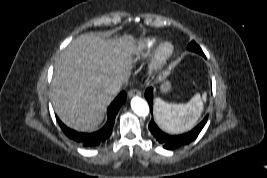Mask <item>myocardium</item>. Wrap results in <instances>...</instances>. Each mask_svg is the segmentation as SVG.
I'll return each instance as SVG.
<instances>
[{"label": "myocardium", "mask_w": 267, "mask_h": 178, "mask_svg": "<svg viewBox=\"0 0 267 178\" xmlns=\"http://www.w3.org/2000/svg\"><path fill=\"white\" fill-rule=\"evenodd\" d=\"M176 53V48L173 43L169 41L161 42L153 55L152 61L150 63V72L153 74H158L162 69L168 64V62L174 57Z\"/></svg>", "instance_id": "f54148a6"}]
</instances>
